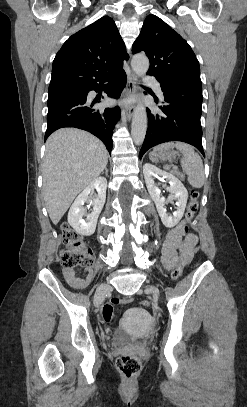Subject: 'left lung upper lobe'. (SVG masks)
<instances>
[{"instance_id": "5c2ea615", "label": "left lung upper lobe", "mask_w": 247, "mask_h": 407, "mask_svg": "<svg viewBox=\"0 0 247 407\" xmlns=\"http://www.w3.org/2000/svg\"><path fill=\"white\" fill-rule=\"evenodd\" d=\"M144 51L150 59L148 75L160 84H174L202 90L199 62L188 43L168 24L148 15L132 52Z\"/></svg>"}]
</instances>
